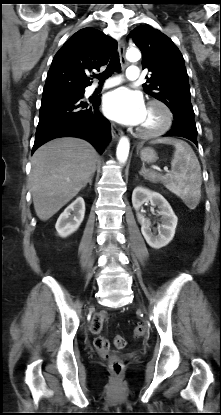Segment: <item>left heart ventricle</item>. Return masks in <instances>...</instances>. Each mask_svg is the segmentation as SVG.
I'll use <instances>...</instances> for the list:
<instances>
[{"mask_svg":"<svg viewBox=\"0 0 221 415\" xmlns=\"http://www.w3.org/2000/svg\"><path fill=\"white\" fill-rule=\"evenodd\" d=\"M163 120V114L158 107H146L144 117L139 127L145 130L157 128Z\"/></svg>","mask_w":221,"mask_h":415,"instance_id":"left-heart-ventricle-1","label":"left heart ventricle"}]
</instances>
